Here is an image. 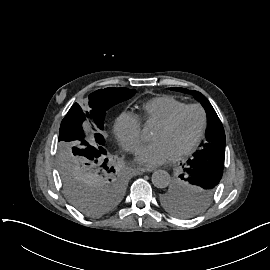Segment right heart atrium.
Returning a JSON list of instances; mask_svg holds the SVG:
<instances>
[{
    "label": "right heart atrium",
    "instance_id": "d8ad5b80",
    "mask_svg": "<svg viewBox=\"0 0 270 270\" xmlns=\"http://www.w3.org/2000/svg\"><path fill=\"white\" fill-rule=\"evenodd\" d=\"M113 132L120 146L128 153L136 152L141 144V123L135 115L122 113L115 121Z\"/></svg>",
    "mask_w": 270,
    "mask_h": 270
}]
</instances>
